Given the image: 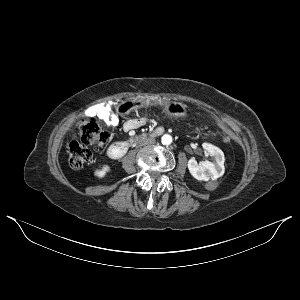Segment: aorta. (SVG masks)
Instances as JSON below:
<instances>
[{
  "label": "aorta",
  "mask_w": 300,
  "mask_h": 300,
  "mask_svg": "<svg viewBox=\"0 0 300 300\" xmlns=\"http://www.w3.org/2000/svg\"><path fill=\"white\" fill-rule=\"evenodd\" d=\"M161 142L163 145H170L172 143V136L169 134H164L161 137Z\"/></svg>",
  "instance_id": "1"
}]
</instances>
